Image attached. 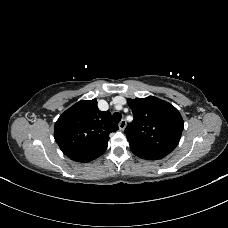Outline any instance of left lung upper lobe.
I'll list each match as a JSON object with an SVG mask.
<instances>
[{"mask_svg":"<svg viewBox=\"0 0 228 228\" xmlns=\"http://www.w3.org/2000/svg\"><path fill=\"white\" fill-rule=\"evenodd\" d=\"M134 120L125 129L131 150L168 155L178 145L184 122L170 103L154 96L127 99Z\"/></svg>","mask_w":228,"mask_h":228,"instance_id":"5c2ea615","label":"left lung upper lobe"}]
</instances>
